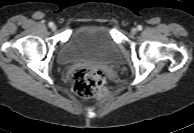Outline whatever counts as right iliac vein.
I'll return each mask as SVG.
<instances>
[{"instance_id": "1", "label": "right iliac vein", "mask_w": 194, "mask_h": 133, "mask_svg": "<svg viewBox=\"0 0 194 133\" xmlns=\"http://www.w3.org/2000/svg\"><path fill=\"white\" fill-rule=\"evenodd\" d=\"M56 28H57V27H56V25H54V24H53L52 27H51V29H52L53 31H55Z\"/></svg>"}]
</instances>
